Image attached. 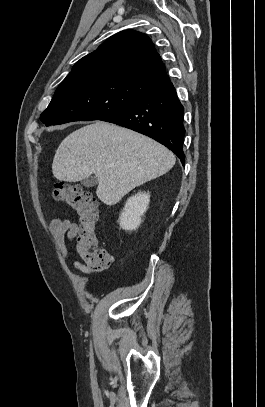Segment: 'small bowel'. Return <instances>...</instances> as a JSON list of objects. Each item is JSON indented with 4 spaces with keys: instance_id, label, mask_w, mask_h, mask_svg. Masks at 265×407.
<instances>
[{
    "instance_id": "1",
    "label": "small bowel",
    "mask_w": 265,
    "mask_h": 407,
    "mask_svg": "<svg viewBox=\"0 0 265 407\" xmlns=\"http://www.w3.org/2000/svg\"><path fill=\"white\" fill-rule=\"evenodd\" d=\"M49 230L57 243L61 257L68 260L73 255V251L67 244L76 238L79 231L78 225L68 219L55 217L49 223ZM74 267L88 276L92 275L91 271L78 261L74 262Z\"/></svg>"
}]
</instances>
